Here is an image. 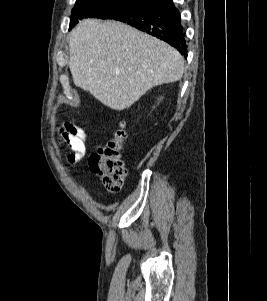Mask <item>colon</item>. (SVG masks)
<instances>
[{
	"label": "colon",
	"mask_w": 267,
	"mask_h": 301,
	"mask_svg": "<svg viewBox=\"0 0 267 301\" xmlns=\"http://www.w3.org/2000/svg\"><path fill=\"white\" fill-rule=\"evenodd\" d=\"M127 138L124 123H121L113 137L89 158L90 169L99 174L106 189L112 193L119 192L126 176L122 156L123 144Z\"/></svg>",
	"instance_id": "colon-1"
}]
</instances>
